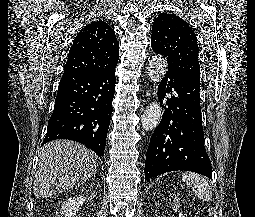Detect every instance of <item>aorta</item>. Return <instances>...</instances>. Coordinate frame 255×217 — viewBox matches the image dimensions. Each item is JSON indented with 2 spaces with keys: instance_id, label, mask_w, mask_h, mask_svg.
<instances>
[{
  "instance_id": "aorta-1",
  "label": "aorta",
  "mask_w": 255,
  "mask_h": 217,
  "mask_svg": "<svg viewBox=\"0 0 255 217\" xmlns=\"http://www.w3.org/2000/svg\"><path fill=\"white\" fill-rule=\"evenodd\" d=\"M167 60L162 56H155L149 62L148 74L154 83H159L167 71ZM162 108L158 101L150 103L145 109L141 123L146 131L155 129L160 123Z\"/></svg>"
}]
</instances>
